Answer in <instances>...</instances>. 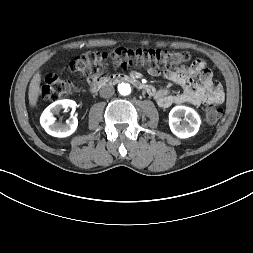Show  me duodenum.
Instances as JSON below:
<instances>
[{
    "mask_svg": "<svg viewBox=\"0 0 253 253\" xmlns=\"http://www.w3.org/2000/svg\"><path fill=\"white\" fill-rule=\"evenodd\" d=\"M119 82H127L132 84L137 89H140L142 91L147 92L148 94L153 93V88L151 85H147L145 83H142L140 80L136 79L135 77L128 76V75H122V74H114L107 77L102 78L101 80L97 81L96 83H93L91 85L90 91L92 93L98 92L101 88L116 84Z\"/></svg>",
    "mask_w": 253,
    "mask_h": 253,
    "instance_id": "obj_1",
    "label": "duodenum"
}]
</instances>
